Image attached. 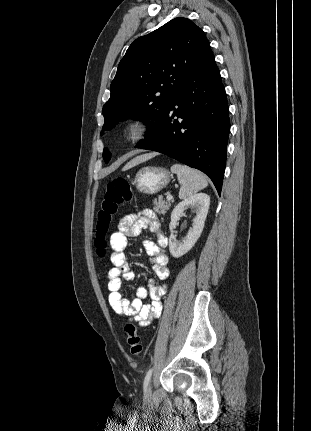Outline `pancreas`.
<instances>
[{
  "label": "pancreas",
  "mask_w": 311,
  "mask_h": 431,
  "mask_svg": "<svg viewBox=\"0 0 311 431\" xmlns=\"http://www.w3.org/2000/svg\"><path fill=\"white\" fill-rule=\"evenodd\" d=\"M172 202H174V200H164L163 196H158V200L157 198L153 200V210L157 212V214H163V216H165L167 210H170Z\"/></svg>",
  "instance_id": "pancreas-1"
}]
</instances>
